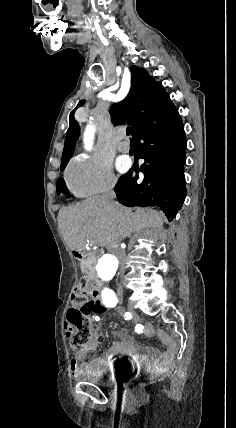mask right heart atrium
I'll return each mask as SVG.
<instances>
[{
    "instance_id": "1",
    "label": "right heart atrium",
    "mask_w": 236,
    "mask_h": 428,
    "mask_svg": "<svg viewBox=\"0 0 236 428\" xmlns=\"http://www.w3.org/2000/svg\"><path fill=\"white\" fill-rule=\"evenodd\" d=\"M66 184L73 196L87 200L113 193L118 186V178L106 161L95 156L79 155L67 168Z\"/></svg>"
}]
</instances>
